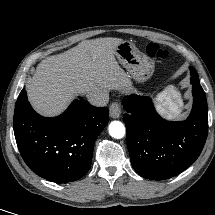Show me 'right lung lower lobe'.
I'll return each instance as SVG.
<instances>
[{"label":"right lung lower lobe","instance_id":"right-lung-lower-lobe-1","mask_svg":"<svg viewBox=\"0 0 215 215\" xmlns=\"http://www.w3.org/2000/svg\"><path fill=\"white\" fill-rule=\"evenodd\" d=\"M23 110L14 117L18 149L29 168L56 183L72 182L91 166L95 140L109 121L106 107L76 99L57 117L37 114L23 89L18 100Z\"/></svg>","mask_w":215,"mask_h":215}]
</instances>
